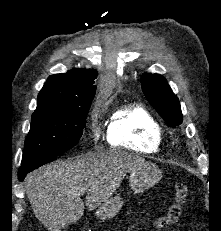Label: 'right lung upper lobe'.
<instances>
[{
    "label": "right lung upper lobe",
    "mask_w": 221,
    "mask_h": 231,
    "mask_svg": "<svg viewBox=\"0 0 221 231\" xmlns=\"http://www.w3.org/2000/svg\"><path fill=\"white\" fill-rule=\"evenodd\" d=\"M97 71L74 69L66 74L51 75L39 92L37 108L79 106L92 102Z\"/></svg>",
    "instance_id": "cb5924a9"
}]
</instances>
